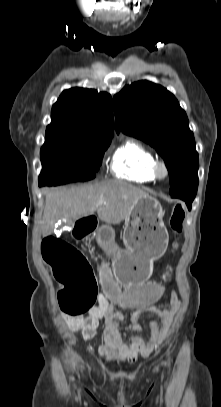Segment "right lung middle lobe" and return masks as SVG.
Listing matches in <instances>:
<instances>
[{
  "label": "right lung middle lobe",
  "mask_w": 221,
  "mask_h": 407,
  "mask_svg": "<svg viewBox=\"0 0 221 407\" xmlns=\"http://www.w3.org/2000/svg\"><path fill=\"white\" fill-rule=\"evenodd\" d=\"M110 142L46 136L40 155L42 171L39 184L61 185L95 177Z\"/></svg>",
  "instance_id": "right-lung-middle-lobe-1"
}]
</instances>
